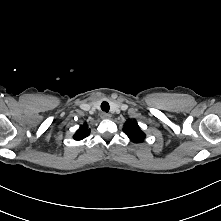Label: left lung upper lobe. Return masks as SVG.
<instances>
[{"instance_id": "left-lung-upper-lobe-1", "label": "left lung upper lobe", "mask_w": 221, "mask_h": 221, "mask_svg": "<svg viewBox=\"0 0 221 221\" xmlns=\"http://www.w3.org/2000/svg\"><path fill=\"white\" fill-rule=\"evenodd\" d=\"M123 131L133 142H142L145 138V134L141 131L136 120H127Z\"/></svg>"}]
</instances>
